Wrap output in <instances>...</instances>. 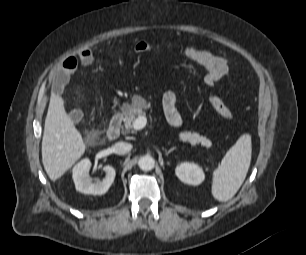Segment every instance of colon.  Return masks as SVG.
Returning <instances> with one entry per match:
<instances>
[{"instance_id": "colon-1", "label": "colon", "mask_w": 306, "mask_h": 255, "mask_svg": "<svg viewBox=\"0 0 306 255\" xmlns=\"http://www.w3.org/2000/svg\"><path fill=\"white\" fill-rule=\"evenodd\" d=\"M133 49L137 54H144L149 51V45L145 41H137ZM181 51L185 56L206 69L205 83L210 89H213L216 83L227 73L228 66L226 61L210 51L199 49L192 45L183 46ZM208 100L221 117L230 121L235 119L234 113L219 96L210 93Z\"/></svg>"}]
</instances>
